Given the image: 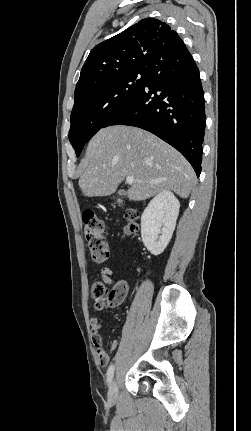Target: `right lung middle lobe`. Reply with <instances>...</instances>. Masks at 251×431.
<instances>
[{
  "instance_id": "dd1d6c3e",
  "label": "right lung middle lobe",
  "mask_w": 251,
  "mask_h": 431,
  "mask_svg": "<svg viewBox=\"0 0 251 431\" xmlns=\"http://www.w3.org/2000/svg\"><path fill=\"white\" fill-rule=\"evenodd\" d=\"M145 78L146 69H137L74 94L69 140L77 156L85 143L138 93Z\"/></svg>"
}]
</instances>
